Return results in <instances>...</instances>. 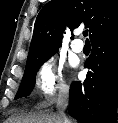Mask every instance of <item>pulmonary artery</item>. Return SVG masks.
I'll use <instances>...</instances> for the list:
<instances>
[{"label":"pulmonary artery","mask_w":118,"mask_h":123,"mask_svg":"<svg viewBox=\"0 0 118 123\" xmlns=\"http://www.w3.org/2000/svg\"><path fill=\"white\" fill-rule=\"evenodd\" d=\"M71 48L76 53H81L84 50V43L80 39H75L71 43Z\"/></svg>","instance_id":"obj_1"}]
</instances>
